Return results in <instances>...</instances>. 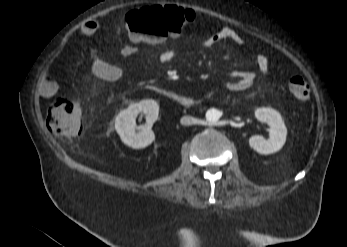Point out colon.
I'll return each instance as SVG.
<instances>
[{
	"mask_svg": "<svg viewBox=\"0 0 347 247\" xmlns=\"http://www.w3.org/2000/svg\"><path fill=\"white\" fill-rule=\"evenodd\" d=\"M195 19V15L189 10L175 5H158L127 13L124 16V27L134 39L160 43L168 36L180 34ZM289 90L299 103H305L310 99V86L300 76L290 79ZM46 123L58 136L78 137L83 131L79 104L72 98L55 97L47 110Z\"/></svg>",
	"mask_w": 347,
	"mask_h": 247,
	"instance_id": "colon-1",
	"label": "colon"
}]
</instances>
